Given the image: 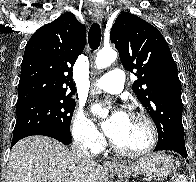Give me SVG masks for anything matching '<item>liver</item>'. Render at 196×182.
Masks as SVG:
<instances>
[{"mask_svg":"<svg viewBox=\"0 0 196 182\" xmlns=\"http://www.w3.org/2000/svg\"><path fill=\"white\" fill-rule=\"evenodd\" d=\"M105 169L94 160L76 161L59 141L30 136L12 148L7 182H103Z\"/></svg>","mask_w":196,"mask_h":182,"instance_id":"liver-1","label":"liver"}]
</instances>
